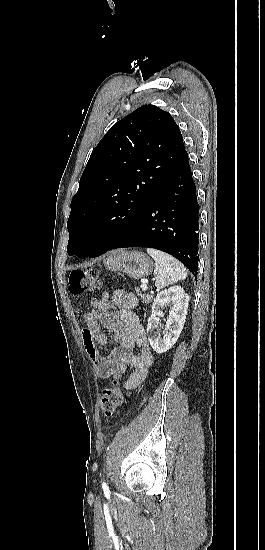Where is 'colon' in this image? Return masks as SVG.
Segmentation results:
<instances>
[{
    "label": "colon",
    "mask_w": 265,
    "mask_h": 550,
    "mask_svg": "<svg viewBox=\"0 0 265 550\" xmlns=\"http://www.w3.org/2000/svg\"><path fill=\"white\" fill-rule=\"evenodd\" d=\"M101 284V279L95 269H75L69 276L70 291L76 295L97 291ZM110 379L111 386L105 388L99 397V406L107 417H111L125 400L120 377L111 376Z\"/></svg>",
    "instance_id": "5ec220e1"
}]
</instances>
